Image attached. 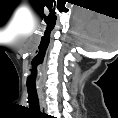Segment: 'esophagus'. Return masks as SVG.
Here are the masks:
<instances>
[{"label":"esophagus","mask_w":118,"mask_h":118,"mask_svg":"<svg viewBox=\"0 0 118 118\" xmlns=\"http://www.w3.org/2000/svg\"><path fill=\"white\" fill-rule=\"evenodd\" d=\"M38 97H39V101H40L41 112L43 113L46 111V102H45L44 92L38 91Z\"/></svg>","instance_id":"obj_1"}]
</instances>
